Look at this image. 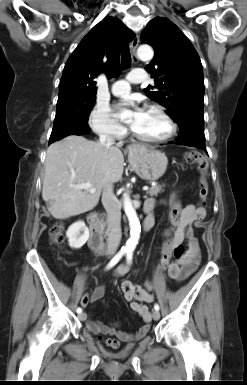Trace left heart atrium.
Wrapping results in <instances>:
<instances>
[{
    "instance_id": "1",
    "label": "left heart atrium",
    "mask_w": 247,
    "mask_h": 385,
    "mask_svg": "<svg viewBox=\"0 0 247 385\" xmlns=\"http://www.w3.org/2000/svg\"><path fill=\"white\" fill-rule=\"evenodd\" d=\"M127 105L133 108V117L135 120L140 119L143 115V110L133 101L128 102Z\"/></svg>"
}]
</instances>
